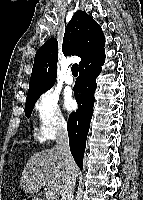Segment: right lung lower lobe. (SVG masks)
Wrapping results in <instances>:
<instances>
[{
	"label": "right lung lower lobe",
	"mask_w": 143,
	"mask_h": 200,
	"mask_svg": "<svg viewBox=\"0 0 143 200\" xmlns=\"http://www.w3.org/2000/svg\"><path fill=\"white\" fill-rule=\"evenodd\" d=\"M105 62V50L95 55L79 67V77L74 86V95L78 109L69 116L67 129L72 156L80 169L83 167V156L87 134L93 115L96 78Z\"/></svg>",
	"instance_id": "1"
}]
</instances>
